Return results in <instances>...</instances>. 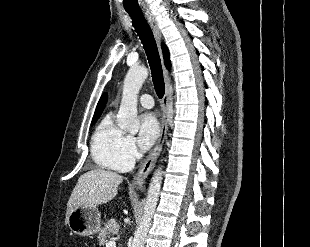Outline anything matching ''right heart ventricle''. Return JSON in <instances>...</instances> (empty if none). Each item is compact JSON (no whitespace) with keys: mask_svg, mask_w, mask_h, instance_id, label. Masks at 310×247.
<instances>
[{"mask_svg":"<svg viewBox=\"0 0 310 247\" xmlns=\"http://www.w3.org/2000/svg\"><path fill=\"white\" fill-rule=\"evenodd\" d=\"M123 136V132L115 124L112 114H106L97 125L91 138L92 159L99 167L118 170L115 161Z\"/></svg>","mask_w":310,"mask_h":247,"instance_id":"1","label":"right heart ventricle"}]
</instances>
